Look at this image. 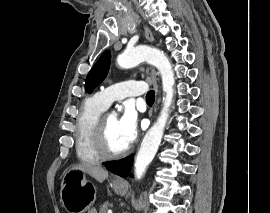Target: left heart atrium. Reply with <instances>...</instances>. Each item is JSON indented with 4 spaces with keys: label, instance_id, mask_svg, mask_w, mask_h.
<instances>
[{
    "label": "left heart atrium",
    "instance_id": "obj_1",
    "mask_svg": "<svg viewBox=\"0 0 270 213\" xmlns=\"http://www.w3.org/2000/svg\"><path fill=\"white\" fill-rule=\"evenodd\" d=\"M118 130L124 142L129 147L137 138V117L131 107H126L118 120Z\"/></svg>",
    "mask_w": 270,
    "mask_h": 213
}]
</instances>
